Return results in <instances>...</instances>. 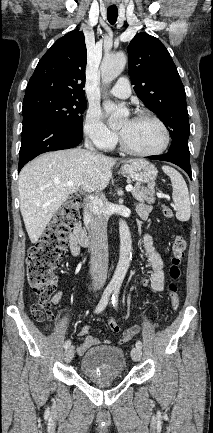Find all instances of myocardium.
Returning <instances> with one entry per match:
<instances>
[{
    "label": "myocardium",
    "instance_id": "obj_1",
    "mask_svg": "<svg viewBox=\"0 0 213 433\" xmlns=\"http://www.w3.org/2000/svg\"><path fill=\"white\" fill-rule=\"evenodd\" d=\"M131 119H133V120L146 119V120L153 121L162 130L164 140H163L161 147L158 148L157 150L143 152V151H138V150L131 148L125 142V140L123 139V137L119 133L118 134L119 145L124 152H126L127 154H130V155H133V156H138V157H152V156L160 155L166 151V149L168 148V146L170 144V132H169L166 124L159 117H157L156 115L149 113V112H138Z\"/></svg>",
    "mask_w": 213,
    "mask_h": 433
}]
</instances>
